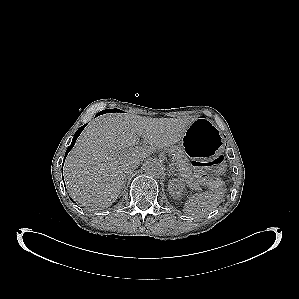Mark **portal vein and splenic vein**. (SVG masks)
<instances>
[{"label":"portal vein and splenic vein","instance_id":"18ae733b","mask_svg":"<svg viewBox=\"0 0 299 299\" xmlns=\"http://www.w3.org/2000/svg\"><path fill=\"white\" fill-rule=\"evenodd\" d=\"M123 155V152H119V153H117V156L118 157H120V156H122Z\"/></svg>","mask_w":299,"mask_h":299}]
</instances>
